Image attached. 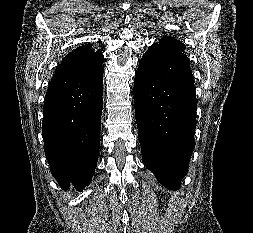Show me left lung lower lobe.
<instances>
[{"label":"left lung lower lobe","instance_id":"left-lung-lower-lobe-1","mask_svg":"<svg viewBox=\"0 0 253 233\" xmlns=\"http://www.w3.org/2000/svg\"><path fill=\"white\" fill-rule=\"evenodd\" d=\"M134 103L143 164L161 184L178 188L195 147L197 102L186 54L150 46L135 74Z\"/></svg>","mask_w":253,"mask_h":233}]
</instances>
